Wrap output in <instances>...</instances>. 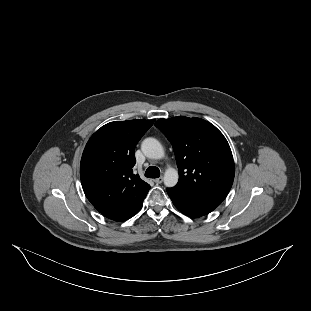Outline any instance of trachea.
Segmentation results:
<instances>
[{"label":"trachea","instance_id":"obj_1","mask_svg":"<svg viewBox=\"0 0 311 311\" xmlns=\"http://www.w3.org/2000/svg\"><path fill=\"white\" fill-rule=\"evenodd\" d=\"M145 176L147 178H159L160 170L155 166H150L146 169Z\"/></svg>","mask_w":311,"mask_h":311}]
</instances>
